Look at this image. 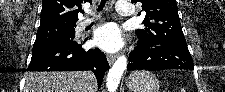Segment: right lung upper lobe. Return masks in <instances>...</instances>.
<instances>
[{
	"label": "right lung upper lobe",
	"instance_id": "cb5924a9",
	"mask_svg": "<svg viewBox=\"0 0 225 92\" xmlns=\"http://www.w3.org/2000/svg\"><path fill=\"white\" fill-rule=\"evenodd\" d=\"M91 0H43L40 26L47 24L76 25L81 4Z\"/></svg>",
	"mask_w": 225,
	"mask_h": 92
}]
</instances>
